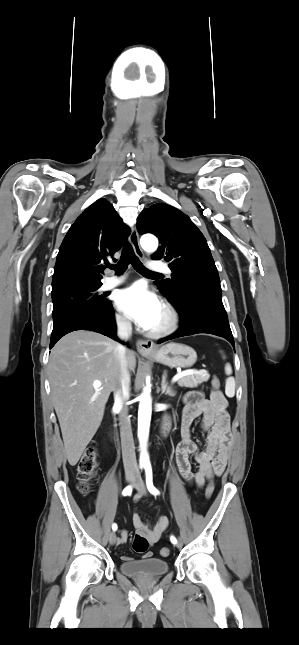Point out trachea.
I'll return each instance as SVG.
<instances>
[{"label":"trachea","mask_w":299,"mask_h":645,"mask_svg":"<svg viewBox=\"0 0 299 645\" xmlns=\"http://www.w3.org/2000/svg\"><path fill=\"white\" fill-rule=\"evenodd\" d=\"M131 264L132 267L140 274L143 275H159V273L149 271L135 255L133 248L130 244H125L119 262L115 266H108L114 268L116 274L121 275Z\"/></svg>","instance_id":"trachea-1"}]
</instances>
